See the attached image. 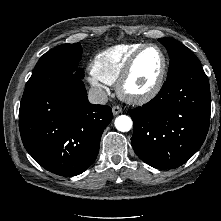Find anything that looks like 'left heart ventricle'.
Listing matches in <instances>:
<instances>
[{"mask_svg": "<svg viewBox=\"0 0 221 221\" xmlns=\"http://www.w3.org/2000/svg\"><path fill=\"white\" fill-rule=\"evenodd\" d=\"M161 63V54L156 48H148L144 51L136 62L132 75L126 83V90L129 93H142L148 90L160 71Z\"/></svg>", "mask_w": 221, "mask_h": 221, "instance_id": "b2bd125f", "label": "left heart ventricle"}]
</instances>
